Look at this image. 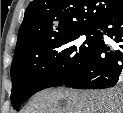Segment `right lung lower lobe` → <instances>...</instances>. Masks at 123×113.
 I'll return each mask as SVG.
<instances>
[{
	"mask_svg": "<svg viewBox=\"0 0 123 113\" xmlns=\"http://www.w3.org/2000/svg\"><path fill=\"white\" fill-rule=\"evenodd\" d=\"M116 45H106L103 38L78 76L64 84L78 89H104L114 86L123 69V4L107 14L96 26Z\"/></svg>",
	"mask_w": 123,
	"mask_h": 113,
	"instance_id": "98d812e1",
	"label": "right lung lower lobe"
}]
</instances>
